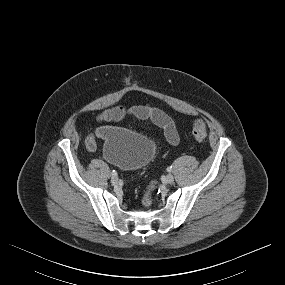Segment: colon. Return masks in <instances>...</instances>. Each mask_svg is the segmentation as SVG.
<instances>
[{
	"label": "colon",
	"instance_id": "obj_1",
	"mask_svg": "<svg viewBox=\"0 0 285 285\" xmlns=\"http://www.w3.org/2000/svg\"><path fill=\"white\" fill-rule=\"evenodd\" d=\"M192 135L194 139L198 142H203L207 136L206 124L201 119H196L192 122ZM156 182H151L148 191L143 198V203L145 206H150L151 204V192L155 189Z\"/></svg>",
	"mask_w": 285,
	"mask_h": 285
}]
</instances>
